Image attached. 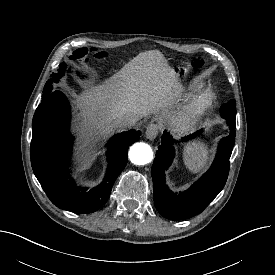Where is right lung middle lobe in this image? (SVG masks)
<instances>
[{"label":"right lung middle lobe","mask_w":275,"mask_h":275,"mask_svg":"<svg viewBox=\"0 0 275 275\" xmlns=\"http://www.w3.org/2000/svg\"><path fill=\"white\" fill-rule=\"evenodd\" d=\"M67 68V65L65 63H62L60 65V72L57 74L53 75V78L50 79L49 81H47V83L44 86V90H43V98L47 95H49L51 93L52 90V82H57L58 78H60L62 76V74L64 73V69Z\"/></svg>","instance_id":"1"}]
</instances>
